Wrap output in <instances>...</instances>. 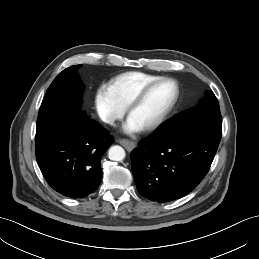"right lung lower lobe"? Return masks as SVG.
Instances as JSON below:
<instances>
[{"instance_id":"obj_1","label":"right lung lower lobe","mask_w":259,"mask_h":259,"mask_svg":"<svg viewBox=\"0 0 259 259\" xmlns=\"http://www.w3.org/2000/svg\"><path fill=\"white\" fill-rule=\"evenodd\" d=\"M92 119L78 123L54 121L36 135V160L47 183L70 198H83L99 186L101 157L114 142Z\"/></svg>"}]
</instances>
